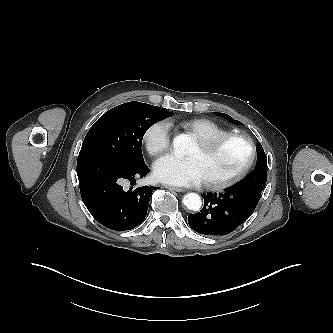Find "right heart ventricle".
Wrapping results in <instances>:
<instances>
[{"label":"right heart ventricle","mask_w":333,"mask_h":333,"mask_svg":"<svg viewBox=\"0 0 333 333\" xmlns=\"http://www.w3.org/2000/svg\"><path fill=\"white\" fill-rule=\"evenodd\" d=\"M180 126L191 133L197 140L209 139L228 133V131L208 118H194L184 120Z\"/></svg>","instance_id":"1"}]
</instances>
